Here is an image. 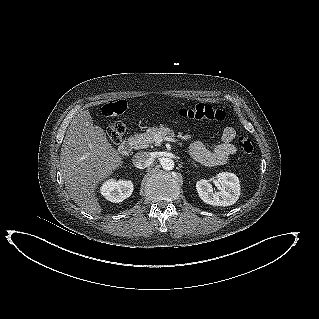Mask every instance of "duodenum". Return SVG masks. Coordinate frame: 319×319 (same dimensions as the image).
<instances>
[{
	"label": "duodenum",
	"mask_w": 319,
	"mask_h": 319,
	"mask_svg": "<svg viewBox=\"0 0 319 319\" xmlns=\"http://www.w3.org/2000/svg\"><path fill=\"white\" fill-rule=\"evenodd\" d=\"M132 140L131 139H125L124 141L121 142V144L118 147V152L122 155V156H126L128 155L131 150H132Z\"/></svg>",
	"instance_id": "1"
}]
</instances>
